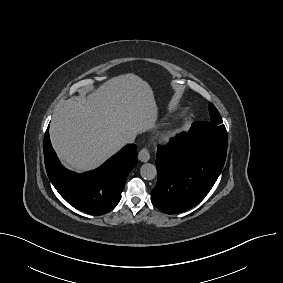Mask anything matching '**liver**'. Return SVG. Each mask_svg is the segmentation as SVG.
Returning a JSON list of instances; mask_svg holds the SVG:
<instances>
[{"instance_id":"liver-1","label":"liver","mask_w":283,"mask_h":283,"mask_svg":"<svg viewBox=\"0 0 283 283\" xmlns=\"http://www.w3.org/2000/svg\"><path fill=\"white\" fill-rule=\"evenodd\" d=\"M157 117L149 84L134 74H124L106 81L87 97L62 104L51 121L50 139L65 167L88 171L120 149L122 134L149 131Z\"/></svg>"}]
</instances>
